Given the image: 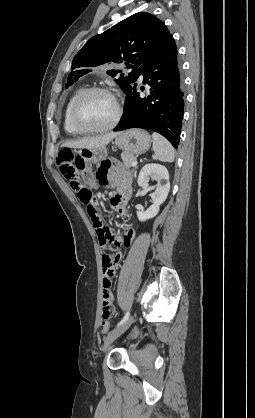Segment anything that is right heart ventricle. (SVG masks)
<instances>
[{
  "mask_svg": "<svg viewBox=\"0 0 255 418\" xmlns=\"http://www.w3.org/2000/svg\"><path fill=\"white\" fill-rule=\"evenodd\" d=\"M85 88L83 86H79L78 88H76L74 90V92L72 93V95L70 96V98L68 99L65 108H64V113H63V126L65 131L70 134V135H78L81 132L78 131L76 128L73 127V125L71 124L70 121V112H71V108L72 105L75 101V99L77 98V96L84 90Z\"/></svg>",
  "mask_w": 255,
  "mask_h": 418,
  "instance_id": "1",
  "label": "right heart ventricle"
}]
</instances>
